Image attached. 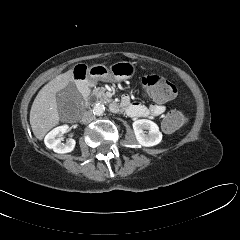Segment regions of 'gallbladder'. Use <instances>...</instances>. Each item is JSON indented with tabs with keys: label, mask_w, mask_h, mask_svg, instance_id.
<instances>
[{
	"label": "gallbladder",
	"mask_w": 240,
	"mask_h": 240,
	"mask_svg": "<svg viewBox=\"0 0 240 240\" xmlns=\"http://www.w3.org/2000/svg\"><path fill=\"white\" fill-rule=\"evenodd\" d=\"M56 101L61 117H64L69 111L76 109L81 102V97L74 83H69L66 88L59 91L56 94Z\"/></svg>",
	"instance_id": "obj_1"
}]
</instances>
